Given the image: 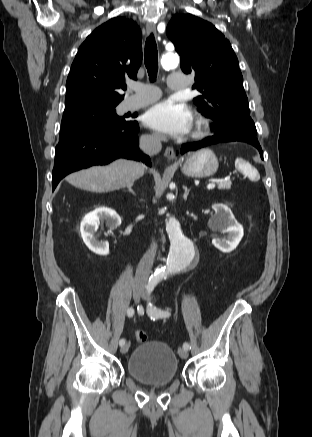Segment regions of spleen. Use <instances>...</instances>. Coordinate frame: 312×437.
<instances>
[{"label": "spleen", "mask_w": 312, "mask_h": 437, "mask_svg": "<svg viewBox=\"0 0 312 437\" xmlns=\"http://www.w3.org/2000/svg\"><path fill=\"white\" fill-rule=\"evenodd\" d=\"M235 167H236L239 171H241V172H243V173L249 175V176L251 177V179H253V180H258L259 177H258L257 173H256V172H253L252 169H251L250 164L247 163V162H246L245 160H243L242 158H237V159L235 160Z\"/></svg>", "instance_id": "3e777b00"}]
</instances>
